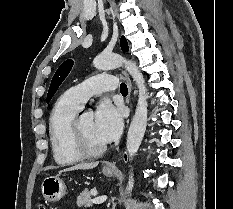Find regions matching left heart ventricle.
<instances>
[{"mask_svg": "<svg viewBox=\"0 0 233 209\" xmlns=\"http://www.w3.org/2000/svg\"><path fill=\"white\" fill-rule=\"evenodd\" d=\"M80 129L83 138L88 146L91 148H98L104 143L100 141L94 133V119L91 116L83 117L80 119Z\"/></svg>", "mask_w": 233, "mask_h": 209, "instance_id": "left-heart-ventricle-1", "label": "left heart ventricle"}]
</instances>
